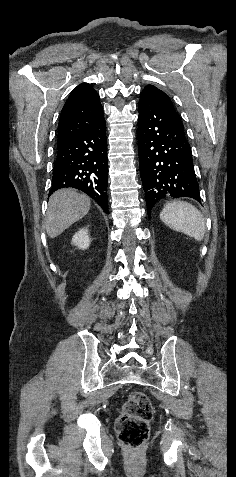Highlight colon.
<instances>
[{
	"mask_svg": "<svg viewBox=\"0 0 236 477\" xmlns=\"http://www.w3.org/2000/svg\"><path fill=\"white\" fill-rule=\"evenodd\" d=\"M153 417V405L141 391H132L123 404L117 420V436L129 449L140 448L148 439L149 422Z\"/></svg>",
	"mask_w": 236,
	"mask_h": 477,
	"instance_id": "5ec220e1",
	"label": "colon"
}]
</instances>
